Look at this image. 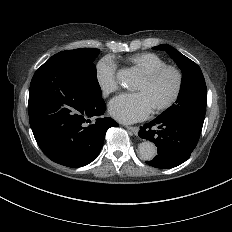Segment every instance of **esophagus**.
I'll list each match as a JSON object with an SVG mask.
<instances>
[{"label": "esophagus", "mask_w": 232, "mask_h": 232, "mask_svg": "<svg viewBox=\"0 0 232 232\" xmlns=\"http://www.w3.org/2000/svg\"><path fill=\"white\" fill-rule=\"evenodd\" d=\"M126 128H127L128 130H130L132 133H134L135 135L138 134L139 127H137V126H126Z\"/></svg>", "instance_id": "esophagus-1"}]
</instances>
